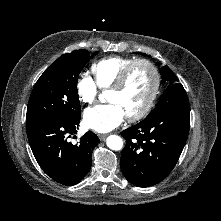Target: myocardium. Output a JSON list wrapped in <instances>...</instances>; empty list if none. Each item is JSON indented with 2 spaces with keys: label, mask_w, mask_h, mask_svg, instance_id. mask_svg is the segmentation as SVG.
I'll use <instances>...</instances> for the list:
<instances>
[{
  "label": "myocardium",
  "mask_w": 221,
  "mask_h": 221,
  "mask_svg": "<svg viewBox=\"0 0 221 221\" xmlns=\"http://www.w3.org/2000/svg\"><path fill=\"white\" fill-rule=\"evenodd\" d=\"M138 65H144L151 71L153 76V85L151 93L145 105L137 113L127 116V119L130 122L139 121L145 118L149 114L158 97L161 85L160 72L157 66L153 62L147 59H135L121 71L115 83L110 87V91L122 90L125 87L132 70Z\"/></svg>",
  "instance_id": "obj_1"
}]
</instances>
